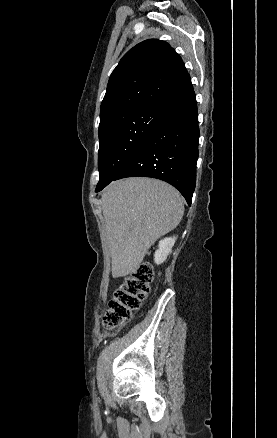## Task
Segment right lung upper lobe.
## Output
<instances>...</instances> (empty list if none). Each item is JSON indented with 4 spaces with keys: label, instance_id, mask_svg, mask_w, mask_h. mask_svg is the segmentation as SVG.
I'll list each match as a JSON object with an SVG mask.
<instances>
[{
    "label": "right lung upper lobe",
    "instance_id": "cb5924a9",
    "mask_svg": "<svg viewBox=\"0 0 277 438\" xmlns=\"http://www.w3.org/2000/svg\"><path fill=\"white\" fill-rule=\"evenodd\" d=\"M191 90L190 76L175 50L165 41H143L129 50L112 72L100 121L115 115L165 111Z\"/></svg>",
    "mask_w": 277,
    "mask_h": 438
}]
</instances>
